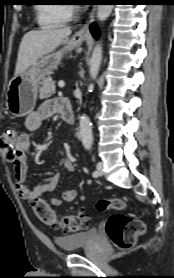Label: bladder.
Returning <instances> with one entry per match:
<instances>
[{"instance_id": "1", "label": "bladder", "mask_w": 174, "mask_h": 278, "mask_svg": "<svg viewBox=\"0 0 174 278\" xmlns=\"http://www.w3.org/2000/svg\"><path fill=\"white\" fill-rule=\"evenodd\" d=\"M98 238V230L91 228L77 233L59 236L54 239L56 245L66 252H73L89 246Z\"/></svg>"}]
</instances>
